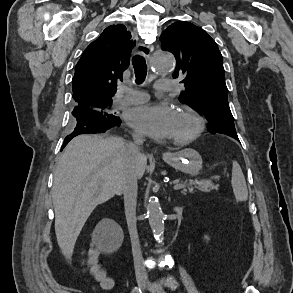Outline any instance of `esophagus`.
Returning a JSON list of instances; mask_svg holds the SVG:
<instances>
[{"label": "esophagus", "mask_w": 293, "mask_h": 293, "mask_svg": "<svg viewBox=\"0 0 293 293\" xmlns=\"http://www.w3.org/2000/svg\"><path fill=\"white\" fill-rule=\"evenodd\" d=\"M152 51H153L152 45H146V44L140 43L137 46V53L141 56L146 57V58H149ZM166 154L167 153H165V155Z\"/></svg>", "instance_id": "1"}]
</instances>
